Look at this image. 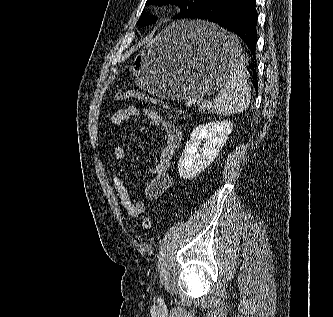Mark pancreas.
Masks as SVG:
<instances>
[{"mask_svg": "<svg viewBox=\"0 0 333 317\" xmlns=\"http://www.w3.org/2000/svg\"><path fill=\"white\" fill-rule=\"evenodd\" d=\"M209 104H202V103H198V108L200 109V110H206V109H209Z\"/></svg>", "mask_w": 333, "mask_h": 317, "instance_id": "cf45deb5", "label": "pancreas"}]
</instances>
